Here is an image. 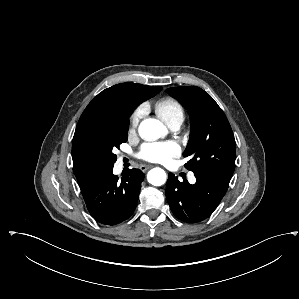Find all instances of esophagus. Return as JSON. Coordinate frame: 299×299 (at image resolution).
<instances>
[{"instance_id":"esophagus-1","label":"esophagus","mask_w":299,"mask_h":299,"mask_svg":"<svg viewBox=\"0 0 299 299\" xmlns=\"http://www.w3.org/2000/svg\"><path fill=\"white\" fill-rule=\"evenodd\" d=\"M152 166L151 165H145V164H142L140 165V170L143 171V172H146L147 170H149Z\"/></svg>"}]
</instances>
